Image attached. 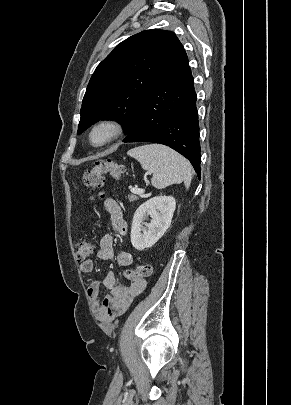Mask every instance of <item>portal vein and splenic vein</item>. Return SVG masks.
<instances>
[{
  "instance_id": "18ae733b",
  "label": "portal vein and splenic vein",
  "mask_w": 291,
  "mask_h": 405,
  "mask_svg": "<svg viewBox=\"0 0 291 405\" xmlns=\"http://www.w3.org/2000/svg\"><path fill=\"white\" fill-rule=\"evenodd\" d=\"M131 192L137 195H142L144 193V189L137 188V187H131L130 188Z\"/></svg>"
}]
</instances>
